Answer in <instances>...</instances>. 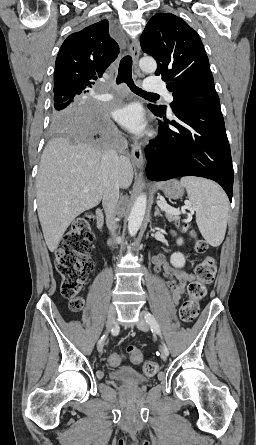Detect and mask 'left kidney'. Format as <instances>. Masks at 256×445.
Here are the masks:
<instances>
[{
    "label": "left kidney",
    "instance_id": "left-kidney-1",
    "mask_svg": "<svg viewBox=\"0 0 256 445\" xmlns=\"http://www.w3.org/2000/svg\"><path fill=\"white\" fill-rule=\"evenodd\" d=\"M183 243V239H177V244L181 245ZM170 263L177 268H182L185 265V257L180 252H175L170 257Z\"/></svg>",
    "mask_w": 256,
    "mask_h": 445
}]
</instances>
